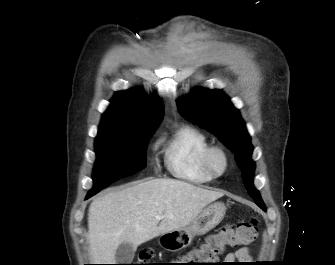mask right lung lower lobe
Instances as JSON below:
<instances>
[{
  "instance_id": "1",
  "label": "right lung lower lobe",
  "mask_w": 335,
  "mask_h": 265,
  "mask_svg": "<svg viewBox=\"0 0 335 265\" xmlns=\"http://www.w3.org/2000/svg\"><path fill=\"white\" fill-rule=\"evenodd\" d=\"M89 197H91V195H87V196H86V199H88Z\"/></svg>"
}]
</instances>
